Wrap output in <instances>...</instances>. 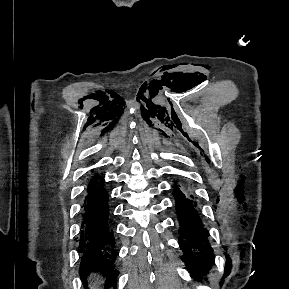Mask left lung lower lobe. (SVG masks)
<instances>
[{
    "label": "left lung lower lobe",
    "mask_w": 289,
    "mask_h": 289,
    "mask_svg": "<svg viewBox=\"0 0 289 289\" xmlns=\"http://www.w3.org/2000/svg\"><path fill=\"white\" fill-rule=\"evenodd\" d=\"M176 213L180 223V247L182 260L194 275L206 271L212 265V248L207 240L208 233L197 213V202L189 185L179 182L174 191Z\"/></svg>",
    "instance_id": "left-lung-lower-lobe-1"
}]
</instances>
